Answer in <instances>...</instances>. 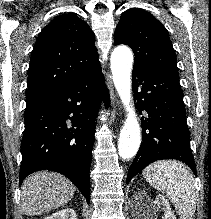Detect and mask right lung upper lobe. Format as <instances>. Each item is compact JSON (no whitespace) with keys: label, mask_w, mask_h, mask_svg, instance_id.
Returning a JSON list of instances; mask_svg holds the SVG:
<instances>
[{"label":"right lung upper lobe","mask_w":211,"mask_h":219,"mask_svg":"<svg viewBox=\"0 0 211 219\" xmlns=\"http://www.w3.org/2000/svg\"><path fill=\"white\" fill-rule=\"evenodd\" d=\"M95 35L75 13L55 17L40 32L29 65L26 104L56 92L98 67Z\"/></svg>","instance_id":"1"}]
</instances>
